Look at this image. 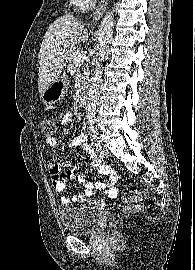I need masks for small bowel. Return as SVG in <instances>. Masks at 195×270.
<instances>
[{
    "mask_svg": "<svg viewBox=\"0 0 195 270\" xmlns=\"http://www.w3.org/2000/svg\"><path fill=\"white\" fill-rule=\"evenodd\" d=\"M72 119L71 113H66L61 119V125H67ZM65 132V129H64ZM47 144L54 147L58 143L57 135L48 137ZM70 146H82L85 152L91 159V166L95 168L101 176H106L108 180L89 182L86 181L87 175H76L75 170L71 169L66 173H62V170L68 166L67 162H51L48 165V172L51 177L52 185L55 191L61 194V203L70 204L71 202H91L101 205L102 202L95 197V191H104V194L109 199H114L118 195V189L116 188V181L118 178L117 172L108 164L102 162L95 151L87 143L86 136L84 134L77 135L70 143ZM76 179L84 186V191L81 194H77L72 198L65 195L66 185L72 180Z\"/></svg>",
    "mask_w": 195,
    "mask_h": 270,
    "instance_id": "c3829d8e",
    "label": "small bowel"
}]
</instances>
